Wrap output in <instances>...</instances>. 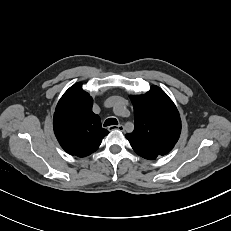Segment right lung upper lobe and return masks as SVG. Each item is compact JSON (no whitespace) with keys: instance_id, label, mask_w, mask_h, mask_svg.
Wrapping results in <instances>:
<instances>
[{"instance_id":"right-lung-upper-lobe-1","label":"right lung upper lobe","mask_w":231,"mask_h":231,"mask_svg":"<svg viewBox=\"0 0 231 231\" xmlns=\"http://www.w3.org/2000/svg\"><path fill=\"white\" fill-rule=\"evenodd\" d=\"M92 97L82 83L71 86L61 97L53 119L54 133L61 147L69 154L85 157L96 151L108 131L92 112Z\"/></svg>"}]
</instances>
